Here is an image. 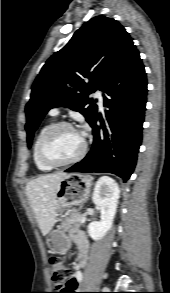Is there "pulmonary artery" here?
I'll use <instances>...</instances> for the list:
<instances>
[{
  "label": "pulmonary artery",
  "mask_w": 170,
  "mask_h": 293,
  "mask_svg": "<svg viewBox=\"0 0 170 293\" xmlns=\"http://www.w3.org/2000/svg\"><path fill=\"white\" fill-rule=\"evenodd\" d=\"M96 97L98 98V104L102 108L103 107V97L104 93L101 90H97L95 92ZM59 114V108H54L51 110V115H58Z\"/></svg>",
  "instance_id": "e3ab8cb5"
}]
</instances>
